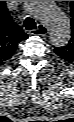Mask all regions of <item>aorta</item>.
Segmentation results:
<instances>
[{"label":"aorta","mask_w":74,"mask_h":122,"mask_svg":"<svg viewBox=\"0 0 74 122\" xmlns=\"http://www.w3.org/2000/svg\"><path fill=\"white\" fill-rule=\"evenodd\" d=\"M25 9L46 25L52 46L60 48L68 44L71 38L70 22L54 1H25Z\"/></svg>","instance_id":"1"}]
</instances>
